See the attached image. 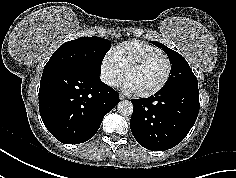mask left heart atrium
<instances>
[{
  "instance_id": "1",
  "label": "left heart atrium",
  "mask_w": 236,
  "mask_h": 178,
  "mask_svg": "<svg viewBox=\"0 0 236 178\" xmlns=\"http://www.w3.org/2000/svg\"><path fill=\"white\" fill-rule=\"evenodd\" d=\"M124 87H125L126 89H129L125 84H124Z\"/></svg>"
}]
</instances>
